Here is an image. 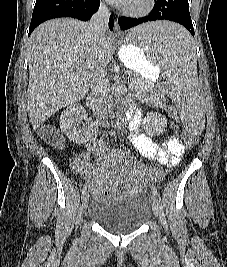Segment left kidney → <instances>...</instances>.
Returning a JSON list of instances; mask_svg holds the SVG:
<instances>
[{
    "instance_id": "left-kidney-1",
    "label": "left kidney",
    "mask_w": 227,
    "mask_h": 267,
    "mask_svg": "<svg viewBox=\"0 0 227 267\" xmlns=\"http://www.w3.org/2000/svg\"><path fill=\"white\" fill-rule=\"evenodd\" d=\"M145 124L149 128L150 134L159 135L165 130V127L167 126V120L160 113L151 112L147 114Z\"/></svg>"
}]
</instances>
